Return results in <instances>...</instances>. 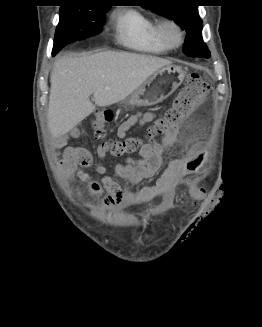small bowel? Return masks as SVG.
<instances>
[{
  "mask_svg": "<svg viewBox=\"0 0 262 327\" xmlns=\"http://www.w3.org/2000/svg\"><path fill=\"white\" fill-rule=\"evenodd\" d=\"M156 118L154 112H139L127 118L117 129V136L125 138L131 130L138 126H144ZM78 130L63 137L60 144L64 145L70 136L79 135ZM83 133H85L83 131ZM180 127L176 126L167 132L162 139L157 137L149 139L140 150V158L129 159L123 164L114 167V173L124 179L128 185H136L142 180L153 177L161 168L163 155L168 152L177 142ZM190 140H187L189 143ZM106 149L102 144L97 146L99 159L106 156ZM201 160L197 156L195 147L187 149L183 156L174 159L164 169L162 175L154 185L145 186L138 191H131L128 187L121 186L118 182L106 175V169L99 164L97 166L98 176L86 172L92 164V156L85 148L65 147L58 166L65 176L77 173L78 177L87 184L92 195H100L106 191L102 205L105 208L128 207L136 204L146 203L160 196H170L177 189L182 177L187 172V165H200ZM191 206H204L208 194L207 188H189Z\"/></svg>",
  "mask_w": 262,
  "mask_h": 327,
  "instance_id": "c3829d8e",
  "label": "small bowel"
}]
</instances>
